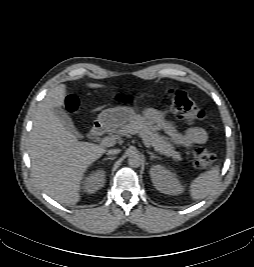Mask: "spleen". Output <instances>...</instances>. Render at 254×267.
I'll return each mask as SVG.
<instances>
[{"mask_svg":"<svg viewBox=\"0 0 254 267\" xmlns=\"http://www.w3.org/2000/svg\"><path fill=\"white\" fill-rule=\"evenodd\" d=\"M219 167L200 174L190 184V195L192 199L198 200L208 196L215 188L219 179Z\"/></svg>","mask_w":254,"mask_h":267,"instance_id":"3e777b00","label":"spleen"}]
</instances>
